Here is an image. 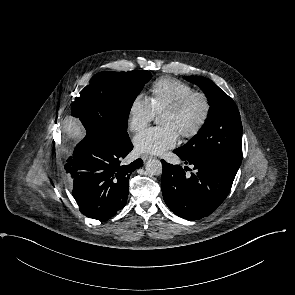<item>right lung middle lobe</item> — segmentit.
Masks as SVG:
<instances>
[{"label":"right lung middle lobe","mask_w":295,"mask_h":295,"mask_svg":"<svg viewBox=\"0 0 295 295\" xmlns=\"http://www.w3.org/2000/svg\"><path fill=\"white\" fill-rule=\"evenodd\" d=\"M148 71L97 73L71 104V115L86 129L116 143L129 139L128 116L134 100L150 80Z\"/></svg>","instance_id":"1"}]
</instances>
